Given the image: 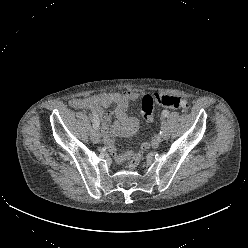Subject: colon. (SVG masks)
Returning a JSON list of instances; mask_svg holds the SVG:
<instances>
[{"instance_id":"1","label":"colon","mask_w":248,"mask_h":248,"mask_svg":"<svg viewBox=\"0 0 248 248\" xmlns=\"http://www.w3.org/2000/svg\"><path fill=\"white\" fill-rule=\"evenodd\" d=\"M155 104H160L162 106L177 109L183 112H187L189 110L188 102L182 97L170 95H146L142 99L141 115L147 122H151L153 120V108ZM147 148L148 144L142 143L137 152L133 154H126L124 160L127 161L129 168H135L140 163L143 151Z\"/></svg>"}]
</instances>
